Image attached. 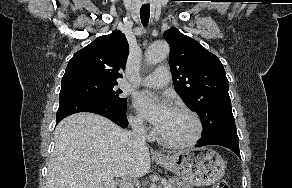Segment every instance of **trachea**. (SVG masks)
Here are the masks:
<instances>
[{
  "label": "trachea",
  "instance_id": "1",
  "mask_svg": "<svg viewBox=\"0 0 292 188\" xmlns=\"http://www.w3.org/2000/svg\"><path fill=\"white\" fill-rule=\"evenodd\" d=\"M149 17H150V5L144 4V5H142V7L140 9V18H141V22L144 26L148 25Z\"/></svg>",
  "mask_w": 292,
  "mask_h": 188
}]
</instances>
